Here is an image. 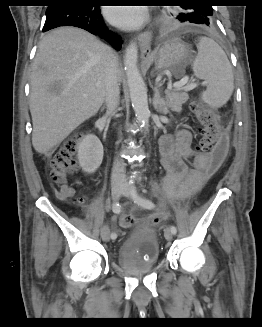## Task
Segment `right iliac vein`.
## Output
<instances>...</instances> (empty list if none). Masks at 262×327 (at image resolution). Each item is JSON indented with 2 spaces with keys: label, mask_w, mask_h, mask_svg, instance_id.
Instances as JSON below:
<instances>
[{
  "label": "right iliac vein",
  "mask_w": 262,
  "mask_h": 327,
  "mask_svg": "<svg viewBox=\"0 0 262 327\" xmlns=\"http://www.w3.org/2000/svg\"><path fill=\"white\" fill-rule=\"evenodd\" d=\"M122 192V183L121 181H115L113 182L111 186V195L113 200H118ZM101 237L104 241L110 240V229L107 225H104L101 228Z\"/></svg>",
  "instance_id": "obj_1"
}]
</instances>
